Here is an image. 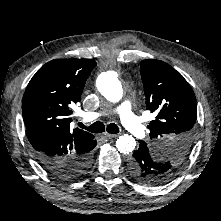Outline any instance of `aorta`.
<instances>
[{
	"mask_svg": "<svg viewBox=\"0 0 221 221\" xmlns=\"http://www.w3.org/2000/svg\"><path fill=\"white\" fill-rule=\"evenodd\" d=\"M97 89L110 102H119L123 96V89L117 74L114 71L104 72L99 75ZM136 146L135 139L128 134L119 136L116 141V147L120 153L129 154Z\"/></svg>",
	"mask_w": 221,
	"mask_h": 221,
	"instance_id": "obj_1",
	"label": "aorta"
}]
</instances>
